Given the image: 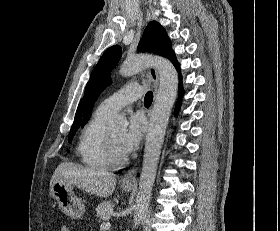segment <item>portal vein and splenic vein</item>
<instances>
[{"label": "portal vein and splenic vein", "mask_w": 280, "mask_h": 231, "mask_svg": "<svg viewBox=\"0 0 280 231\" xmlns=\"http://www.w3.org/2000/svg\"><path fill=\"white\" fill-rule=\"evenodd\" d=\"M110 225V221H104V223H101L100 227L101 229H107V227H110Z\"/></svg>", "instance_id": "1"}]
</instances>
